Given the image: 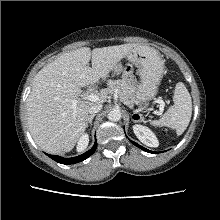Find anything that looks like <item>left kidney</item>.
<instances>
[{
    "mask_svg": "<svg viewBox=\"0 0 220 220\" xmlns=\"http://www.w3.org/2000/svg\"><path fill=\"white\" fill-rule=\"evenodd\" d=\"M133 131L137 138L148 147H158L159 142L154 133L147 127L136 124L133 126Z\"/></svg>",
    "mask_w": 220,
    "mask_h": 220,
    "instance_id": "1",
    "label": "left kidney"
}]
</instances>
